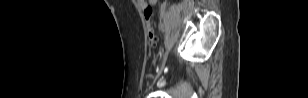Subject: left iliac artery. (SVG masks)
<instances>
[{
	"label": "left iliac artery",
	"instance_id": "left-iliac-artery-1",
	"mask_svg": "<svg viewBox=\"0 0 308 98\" xmlns=\"http://www.w3.org/2000/svg\"><path fill=\"white\" fill-rule=\"evenodd\" d=\"M157 28L159 31H164L166 27L164 24H159Z\"/></svg>",
	"mask_w": 308,
	"mask_h": 98
}]
</instances>
